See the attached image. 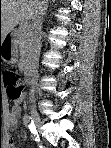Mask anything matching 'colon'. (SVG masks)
<instances>
[{
	"instance_id": "1",
	"label": "colon",
	"mask_w": 111,
	"mask_h": 148,
	"mask_svg": "<svg viewBox=\"0 0 111 148\" xmlns=\"http://www.w3.org/2000/svg\"><path fill=\"white\" fill-rule=\"evenodd\" d=\"M2 79L6 86L8 97L11 100H18L24 92L19 75L12 70H7L3 73Z\"/></svg>"
}]
</instances>
